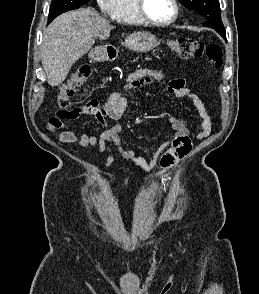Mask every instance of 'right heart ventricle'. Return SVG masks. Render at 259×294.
<instances>
[{
  "mask_svg": "<svg viewBox=\"0 0 259 294\" xmlns=\"http://www.w3.org/2000/svg\"><path fill=\"white\" fill-rule=\"evenodd\" d=\"M112 17L123 24L139 25L143 23L137 13L135 0H118Z\"/></svg>",
  "mask_w": 259,
  "mask_h": 294,
  "instance_id": "e07e8e85",
  "label": "right heart ventricle"
}]
</instances>
